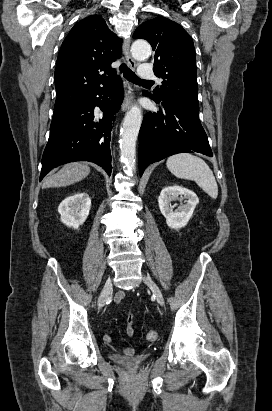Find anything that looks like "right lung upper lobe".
Returning <instances> with one entry per match:
<instances>
[{
	"instance_id": "obj_1",
	"label": "right lung upper lobe",
	"mask_w": 272,
	"mask_h": 411,
	"mask_svg": "<svg viewBox=\"0 0 272 411\" xmlns=\"http://www.w3.org/2000/svg\"><path fill=\"white\" fill-rule=\"evenodd\" d=\"M121 56V40L100 15L79 21L62 43L55 70V106L64 107L107 86L111 63Z\"/></svg>"
}]
</instances>
